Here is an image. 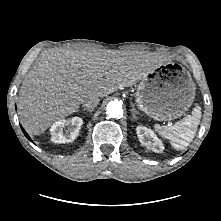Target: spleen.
I'll return each mask as SVG.
<instances>
[{"mask_svg":"<svg viewBox=\"0 0 221 221\" xmlns=\"http://www.w3.org/2000/svg\"><path fill=\"white\" fill-rule=\"evenodd\" d=\"M201 108L196 106L192 115L185 116L180 122L172 126L155 125V130L163 138L170 141L176 150L185 149L195 137L200 122Z\"/></svg>","mask_w":221,"mask_h":221,"instance_id":"3e777b00","label":"spleen"}]
</instances>
